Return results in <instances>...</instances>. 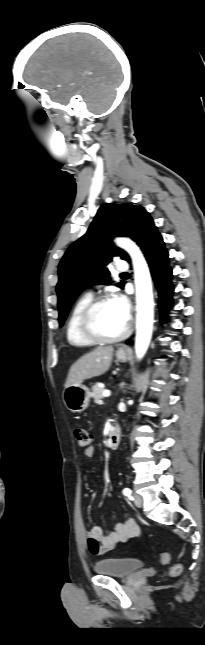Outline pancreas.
<instances>
[{"mask_svg":"<svg viewBox=\"0 0 205 645\" xmlns=\"http://www.w3.org/2000/svg\"><path fill=\"white\" fill-rule=\"evenodd\" d=\"M104 390H105L104 388H102V387H100V386H99V383H96V384L92 387V393H91V396L93 397L94 402H95L96 404H101V403H102V399H103V397H104V396H103V392H104Z\"/></svg>","mask_w":205,"mask_h":645,"instance_id":"obj_1","label":"pancreas"}]
</instances>
